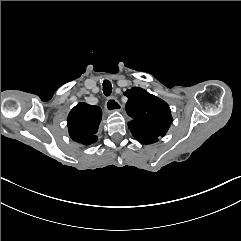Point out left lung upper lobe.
<instances>
[{
	"instance_id": "5c2ea615",
	"label": "left lung upper lobe",
	"mask_w": 241,
	"mask_h": 241,
	"mask_svg": "<svg viewBox=\"0 0 241 241\" xmlns=\"http://www.w3.org/2000/svg\"><path fill=\"white\" fill-rule=\"evenodd\" d=\"M124 95L128 97L125 109L132 118L128 123L132 135L142 144L157 142L172 122L168 104L139 87L127 90Z\"/></svg>"
}]
</instances>
